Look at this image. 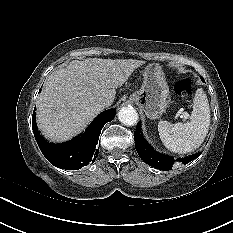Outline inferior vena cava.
<instances>
[{
  "mask_svg": "<svg viewBox=\"0 0 233 233\" xmlns=\"http://www.w3.org/2000/svg\"><path fill=\"white\" fill-rule=\"evenodd\" d=\"M99 104H100L101 107L105 108V107H108L109 105H111V102L107 98H101L99 100Z\"/></svg>",
  "mask_w": 233,
  "mask_h": 233,
  "instance_id": "obj_1",
  "label": "inferior vena cava"
}]
</instances>
